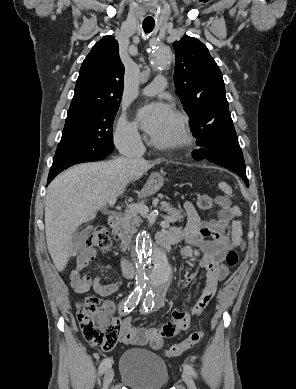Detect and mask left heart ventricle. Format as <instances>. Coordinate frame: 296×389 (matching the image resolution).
Instances as JSON below:
<instances>
[{"instance_id": "left-heart-ventricle-1", "label": "left heart ventricle", "mask_w": 296, "mask_h": 389, "mask_svg": "<svg viewBox=\"0 0 296 389\" xmlns=\"http://www.w3.org/2000/svg\"><path fill=\"white\" fill-rule=\"evenodd\" d=\"M178 134V121L174 115L171 116L170 120L162 131L154 136L155 139L160 141H169L174 139Z\"/></svg>"}]
</instances>
